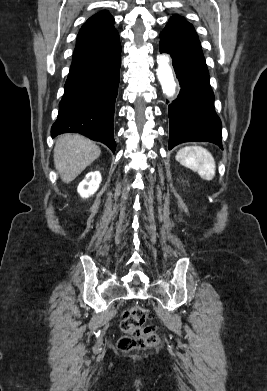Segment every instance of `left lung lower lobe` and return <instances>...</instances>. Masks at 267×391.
I'll return each instance as SVG.
<instances>
[{
    "mask_svg": "<svg viewBox=\"0 0 267 391\" xmlns=\"http://www.w3.org/2000/svg\"><path fill=\"white\" fill-rule=\"evenodd\" d=\"M159 50L168 53L180 93L169 106V149L183 142H212L222 147L221 120L214 109V94L198 37L166 26Z\"/></svg>",
    "mask_w": 267,
    "mask_h": 391,
    "instance_id": "1",
    "label": "left lung lower lobe"
}]
</instances>
